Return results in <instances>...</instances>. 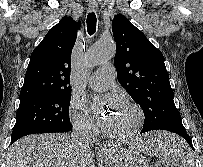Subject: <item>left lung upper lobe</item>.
Masks as SVG:
<instances>
[{
  "mask_svg": "<svg viewBox=\"0 0 203 167\" xmlns=\"http://www.w3.org/2000/svg\"><path fill=\"white\" fill-rule=\"evenodd\" d=\"M112 31L117 47V78L144 112L142 130L185 131L163 54L121 14L114 17Z\"/></svg>",
  "mask_w": 203,
  "mask_h": 167,
  "instance_id": "obj_1",
  "label": "left lung upper lobe"
}]
</instances>
